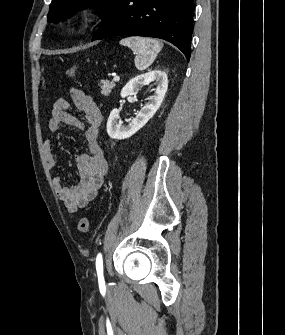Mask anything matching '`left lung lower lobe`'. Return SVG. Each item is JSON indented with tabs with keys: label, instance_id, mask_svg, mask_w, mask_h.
I'll list each match as a JSON object with an SVG mask.
<instances>
[{
	"label": "left lung lower lobe",
	"instance_id": "obj_1",
	"mask_svg": "<svg viewBox=\"0 0 285 335\" xmlns=\"http://www.w3.org/2000/svg\"><path fill=\"white\" fill-rule=\"evenodd\" d=\"M193 11V0H118L92 41L119 35L160 38L178 47L189 61Z\"/></svg>",
	"mask_w": 285,
	"mask_h": 335
}]
</instances>
